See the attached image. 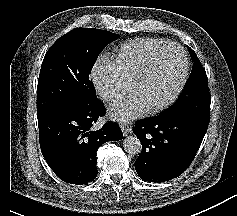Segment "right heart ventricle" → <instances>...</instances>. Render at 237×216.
Listing matches in <instances>:
<instances>
[{
  "label": "right heart ventricle",
  "mask_w": 237,
  "mask_h": 216,
  "mask_svg": "<svg viewBox=\"0 0 237 216\" xmlns=\"http://www.w3.org/2000/svg\"><path fill=\"white\" fill-rule=\"evenodd\" d=\"M170 48V40L131 42L121 48L118 54L109 56L111 75L126 84L137 74L139 66L153 62L160 55L169 52Z\"/></svg>",
  "instance_id": "obj_1"
}]
</instances>
